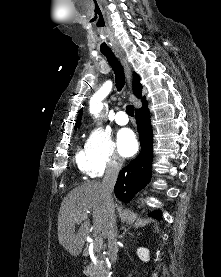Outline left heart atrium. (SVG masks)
<instances>
[{
  "instance_id": "1",
  "label": "left heart atrium",
  "mask_w": 221,
  "mask_h": 277,
  "mask_svg": "<svg viewBox=\"0 0 221 277\" xmlns=\"http://www.w3.org/2000/svg\"><path fill=\"white\" fill-rule=\"evenodd\" d=\"M117 146L124 157L132 156L138 150L135 134L130 129H123L117 135Z\"/></svg>"
}]
</instances>
